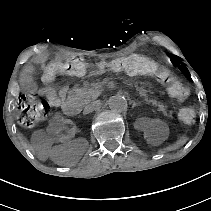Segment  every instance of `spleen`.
Wrapping results in <instances>:
<instances>
[{
  "instance_id": "obj_1",
  "label": "spleen",
  "mask_w": 211,
  "mask_h": 211,
  "mask_svg": "<svg viewBox=\"0 0 211 211\" xmlns=\"http://www.w3.org/2000/svg\"><path fill=\"white\" fill-rule=\"evenodd\" d=\"M188 139L186 136H180L173 143L166 145L165 147L157 150V154H167L171 151H175L176 149L182 147L187 143Z\"/></svg>"
}]
</instances>
